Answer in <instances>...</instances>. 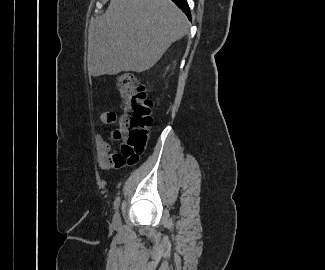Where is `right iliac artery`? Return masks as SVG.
Returning <instances> with one entry per match:
<instances>
[{
    "label": "right iliac artery",
    "instance_id": "82829eb1",
    "mask_svg": "<svg viewBox=\"0 0 325 270\" xmlns=\"http://www.w3.org/2000/svg\"><path fill=\"white\" fill-rule=\"evenodd\" d=\"M119 206H120V197H117L114 201V209L118 210Z\"/></svg>",
    "mask_w": 325,
    "mask_h": 270
}]
</instances>
